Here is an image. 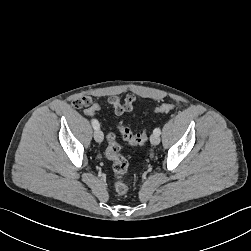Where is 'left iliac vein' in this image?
Segmentation results:
<instances>
[{"label": "left iliac vein", "mask_w": 251, "mask_h": 251, "mask_svg": "<svg viewBox=\"0 0 251 251\" xmlns=\"http://www.w3.org/2000/svg\"><path fill=\"white\" fill-rule=\"evenodd\" d=\"M150 141L153 145H158L160 143V137L157 134H152Z\"/></svg>", "instance_id": "left-iliac-vein-1"}]
</instances>
